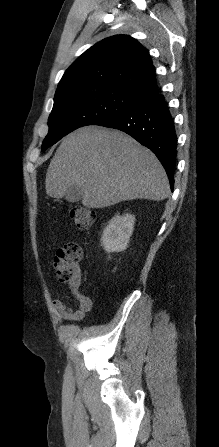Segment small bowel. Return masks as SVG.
Listing matches in <instances>:
<instances>
[{
	"label": "small bowel",
	"instance_id": "small-bowel-1",
	"mask_svg": "<svg viewBox=\"0 0 219 447\" xmlns=\"http://www.w3.org/2000/svg\"><path fill=\"white\" fill-rule=\"evenodd\" d=\"M72 295L78 302L77 308L67 306L61 299H53L52 304L61 318L71 321L82 320L91 310L92 300L75 290H72Z\"/></svg>",
	"mask_w": 219,
	"mask_h": 447
}]
</instances>
